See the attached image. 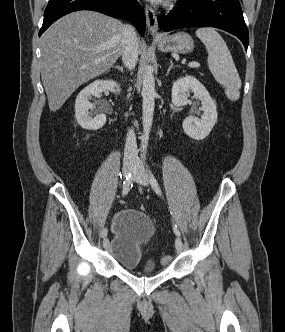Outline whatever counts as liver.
Masks as SVG:
<instances>
[{
    "mask_svg": "<svg viewBox=\"0 0 285 332\" xmlns=\"http://www.w3.org/2000/svg\"><path fill=\"white\" fill-rule=\"evenodd\" d=\"M124 24L94 11H77L41 37V78L48 105L57 111L83 83L108 71L122 55ZM142 43L138 40V50Z\"/></svg>",
    "mask_w": 285,
    "mask_h": 332,
    "instance_id": "obj_1",
    "label": "liver"
}]
</instances>
